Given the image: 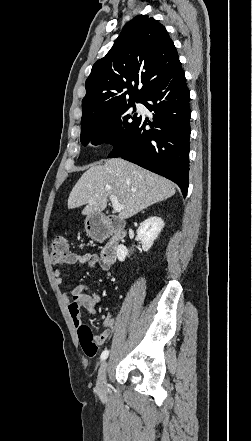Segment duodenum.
Masks as SVG:
<instances>
[{
    "label": "duodenum",
    "instance_id": "duodenum-1",
    "mask_svg": "<svg viewBox=\"0 0 252 441\" xmlns=\"http://www.w3.org/2000/svg\"><path fill=\"white\" fill-rule=\"evenodd\" d=\"M103 224L100 219L91 218L87 221L88 231L93 240H104L108 238L102 252L101 259L111 264L117 257V250L120 241L125 237L126 230L123 223L113 217H108Z\"/></svg>",
    "mask_w": 252,
    "mask_h": 441
}]
</instances>
